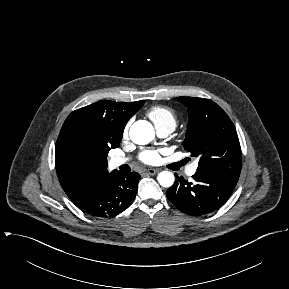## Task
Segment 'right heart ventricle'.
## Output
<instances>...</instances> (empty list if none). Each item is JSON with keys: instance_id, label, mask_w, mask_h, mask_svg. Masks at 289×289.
Listing matches in <instances>:
<instances>
[{"instance_id": "right-heart-ventricle-1", "label": "right heart ventricle", "mask_w": 289, "mask_h": 289, "mask_svg": "<svg viewBox=\"0 0 289 289\" xmlns=\"http://www.w3.org/2000/svg\"><path fill=\"white\" fill-rule=\"evenodd\" d=\"M146 115L153 122L157 130L170 129L173 131L178 123L176 112L167 106H153L147 111Z\"/></svg>"}]
</instances>
